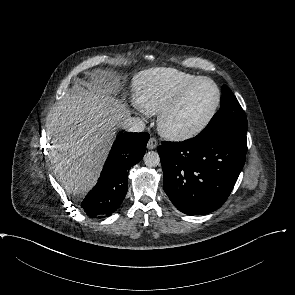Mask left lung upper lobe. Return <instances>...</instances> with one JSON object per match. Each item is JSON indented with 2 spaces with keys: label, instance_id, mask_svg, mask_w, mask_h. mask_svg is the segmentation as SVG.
<instances>
[{
  "label": "left lung upper lobe",
  "instance_id": "5c2ea615",
  "mask_svg": "<svg viewBox=\"0 0 295 295\" xmlns=\"http://www.w3.org/2000/svg\"><path fill=\"white\" fill-rule=\"evenodd\" d=\"M220 104V110L213 116L199 136L221 132L247 140L248 124L246 114L232 91L226 85L222 86Z\"/></svg>",
  "mask_w": 295,
  "mask_h": 295
}]
</instances>
